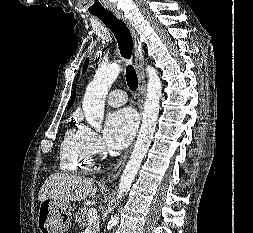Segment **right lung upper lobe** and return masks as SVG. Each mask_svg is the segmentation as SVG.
Here are the masks:
<instances>
[{
    "mask_svg": "<svg viewBox=\"0 0 253 233\" xmlns=\"http://www.w3.org/2000/svg\"><path fill=\"white\" fill-rule=\"evenodd\" d=\"M74 99H75V94L73 95L71 101L69 102L68 109L73 105Z\"/></svg>",
    "mask_w": 253,
    "mask_h": 233,
    "instance_id": "right-lung-upper-lobe-1",
    "label": "right lung upper lobe"
}]
</instances>
